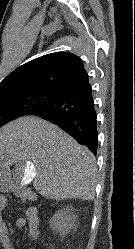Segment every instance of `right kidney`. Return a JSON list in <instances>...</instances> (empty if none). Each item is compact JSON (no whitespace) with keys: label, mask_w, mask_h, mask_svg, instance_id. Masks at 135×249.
<instances>
[{"label":"right kidney","mask_w":135,"mask_h":249,"mask_svg":"<svg viewBox=\"0 0 135 249\" xmlns=\"http://www.w3.org/2000/svg\"><path fill=\"white\" fill-rule=\"evenodd\" d=\"M71 211L72 210L68 207L59 210L50 219V227L52 230H57L62 236L68 234L74 226L70 216Z\"/></svg>","instance_id":"ca27d5eb"}]
</instances>
